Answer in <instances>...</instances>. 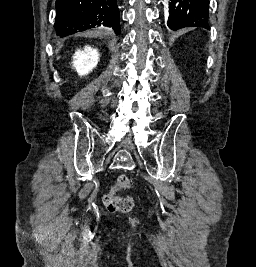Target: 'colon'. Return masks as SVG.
<instances>
[{
	"label": "colon",
	"mask_w": 256,
	"mask_h": 267,
	"mask_svg": "<svg viewBox=\"0 0 256 267\" xmlns=\"http://www.w3.org/2000/svg\"><path fill=\"white\" fill-rule=\"evenodd\" d=\"M131 182L126 175L119 176L112 185L109 192L103 198L106 209L109 212H129L132 210L134 203L128 198L120 195L121 191L129 189Z\"/></svg>",
	"instance_id": "5ec220e1"
}]
</instances>
